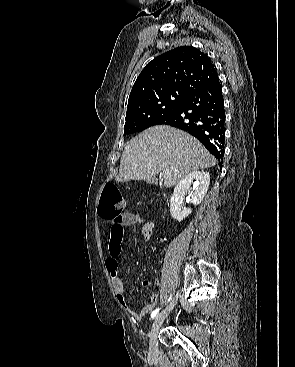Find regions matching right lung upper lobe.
Returning <instances> with one entry per match:
<instances>
[{
  "label": "right lung upper lobe",
  "mask_w": 295,
  "mask_h": 367,
  "mask_svg": "<svg viewBox=\"0 0 295 367\" xmlns=\"http://www.w3.org/2000/svg\"><path fill=\"white\" fill-rule=\"evenodd\" d=\"M217 78L206 54L195 47L182 46L163 53L144 67L132 87L128 107L137 100L165 92L190 95Z\"/></svg>",
  "instance_id": "obj_1"
}]
</instances>
